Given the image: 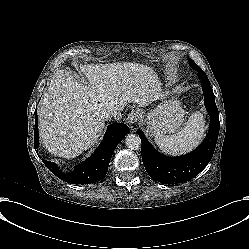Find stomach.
Segmentation results:
<instances>
[{
  "mask_svg": "<svg viewBox=\"0 0 249 249\" xmlns=\"http://www.w3.org/2000/svg\"><path fill=\"white\" fill-rule=\"evenodd\" d=\"M185 111L176 99L165 100L144 115V123L151 137L176 132L184 124Z\"/></svg>",
  "mask_w": 249,
  "mask_h": 249,
  "instance_id": "1",
  "label": "stomach"
}]
</instances>
